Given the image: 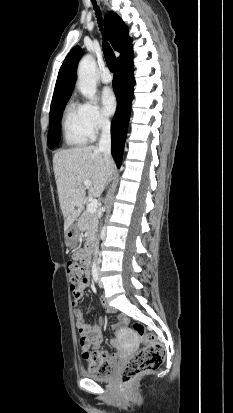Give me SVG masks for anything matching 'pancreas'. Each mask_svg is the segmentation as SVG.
Masks as SVG:
<instances>
[{"instance_id":"cf45deb5","label":"pancreas","mask_w":233,"mask_h":413,"mask_svg":"<svg viewBox=\"0 0 233 413\" xmlns=\"http://www.w3.org/2000/svg\"><path fill=\"white\" fill-rule=\"evenodd\" d=\"M77 225L80 231H88L87 243H89L95 238L98 227V216L96 213L90 214L88 211H84L79 217Z\"/></svg>"}]
</instances>
